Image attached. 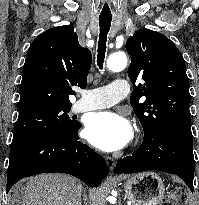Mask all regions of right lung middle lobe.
I'll return each mask as SVG.
<instances>
[{
	"mask_svg": "<svg viewBox=\"0 0 199 205\" xmlns=\"http://www.w3.org/2000/svg\"><path fill=\"white\" fill-rule=\"evenodd\" d=\"M71 105L42 107L19 113L11 148L28 143L47 134L72 130L79 122L69 118Z\"/></svg>",
	"mask_w": 199,
	"mask_h": 205,
	"instance_id": "dd1d6c3e",
	"label": "right lung middle lobe"
}]
</instances>
